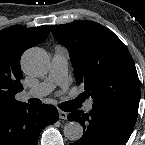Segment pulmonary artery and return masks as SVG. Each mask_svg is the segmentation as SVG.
Returning <instances> with one entry per match:
<instances>
[{
	"label": "pulmonary artery",
	"instance_id": "pulmonary-artery-1",
	"mask_svg": "<svg viewBox=\"0 0 145 145\" xmlns=\"http://www.w3.org/2000/svg\"><path fill=\"white\" fill-rule=\"evenodd\" d=\"M68 85L67 78V55L65 52L55 51L52 57L49 73L45 80L23 93L24 98L31 96H44L50 93L56 86L66 89ZM93 107V101L90 100L85 109L90 111Z\"/></svg>",
	"mask_w": 145,
	"mask_h": 145
}]
</instances>
